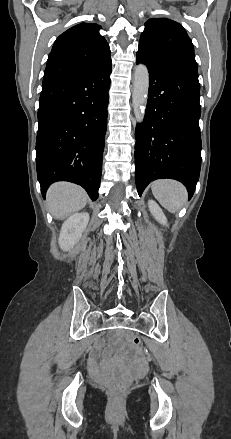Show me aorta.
I'll return each instance as SVG.
<instances>
[{"instance_id": "1", "label": "aorta", "mask_w": 231, "mask_h": 439, "mask_svg": "<svg viewBox=\"0 0 231 439\" xmlns=\"http://www.w3.org/2000/svg\"><path fill=\"white\" fill-rule=\"evenodd\" d=\"M149 72L144 64L135 68L133 79L132 104L137 122H143L148 100Z\"/></svg>"}]
</instances>
